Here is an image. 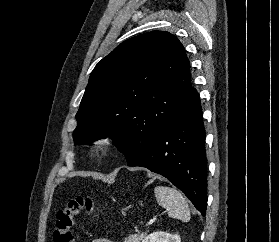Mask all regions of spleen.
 I'll return each mask as SVG.
<instances>
[{"label": "spleen", "instance_id": "spleen-1", "mask_svg": "<svg viewBox=\"0 0 279 242\" xmlns=\"http://www.w3.org/2000/svg\"><path fill=\"white\" fill-rule=\"evenodd\" d=\"M155 197L159 205L164 207L170 217L187 222L190 220V209L180 191L166 186H156Z\"/></svg>", "mask_w": 279, "mask_h": 242}]
</instances>
